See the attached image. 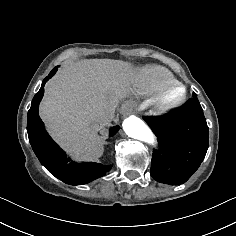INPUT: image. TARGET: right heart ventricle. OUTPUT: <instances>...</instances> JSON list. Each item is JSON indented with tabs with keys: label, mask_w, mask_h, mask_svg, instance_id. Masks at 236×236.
Masks as SVG:
<instances>
[{
	"label": "right heart ventricle",
	"mask_w": 236,
	"mask_h": 236,
	"mask_svg": "<svg viewBox=\"0 0 236 236\" xmlns=\"http://www.w3.org/2000/svg\"><path fill=\"white\" fill-rule=\"evenodd\" d=\"M143 81L139 95L144 97H156L164 87L176 83L177 79L165 68L150 66L143 69Z\"/></svg>",
	"instance_id": "right-heart-ventricle-1"
}]
</instances>
